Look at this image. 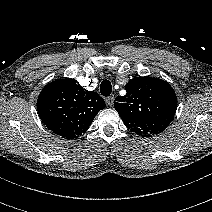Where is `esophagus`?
Wrapping results in <instances>:
<instances>
[{"instance_id": "1", "label": "esophagus", "mask_w": 212, "mask_h": 212, "mask_svg": "<svg viewBox=\"0 0 212 212\" xmlns=\"http://www.w3.org/2000/svg\"><path fill=\"white\" fill-rule=\"evenodd\" d=\"M113 103H114V96H109V97L106 98V104L108 106H112Z\"/></svg>"}]
</instances>
